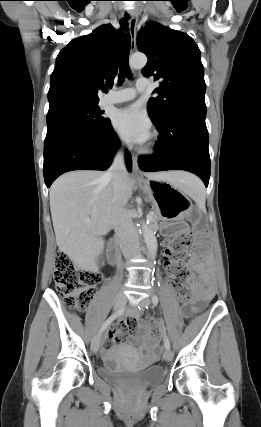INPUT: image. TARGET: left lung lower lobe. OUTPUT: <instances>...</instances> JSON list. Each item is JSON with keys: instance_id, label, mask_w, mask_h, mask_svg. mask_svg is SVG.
I'll return each mask as SVG.
<instances>
[{"instance_id": "0a47b994", "label": "left lung lower lobe", "mask_w": 261, "mask_h": 427, "mask_svg": "<svg viewBox=\"0 0 261 427\" xmlns=\"http://www.w3.org/2000/svg\"><path fill=\"white\" fill-rule=\"evenodd\" d=\"M206 106L180 104L167 117L155 122L160 137L157 153L138 158L142 171L186 170L209 183L211 162L208 131L205 124Z\"/></svg>"}]
</instances>
